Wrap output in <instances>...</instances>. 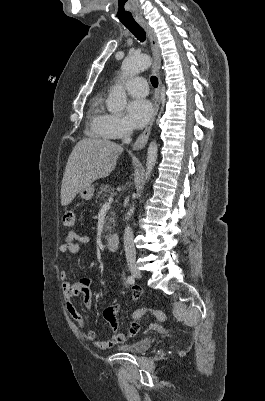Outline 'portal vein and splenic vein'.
Segmentation results:
<instances>
[{
    "instance_id": "18ae733b",
    "label": "portal vein and splenic vein",
    "mask_w": 265,
    "mask_h": 401,
    "mask_svg": "<svg viewBox=\"0 0 265 401\" xmlns=\"http://www.w3.org/2000/svg\"><path fill=\"white\" fill-rule=\"evenodd\" d=\"M112 201H113V198H112V196H110V198H108V203H105V205H103L102 209H108V207H110Z\"/></svg>"
}]
</instances>
